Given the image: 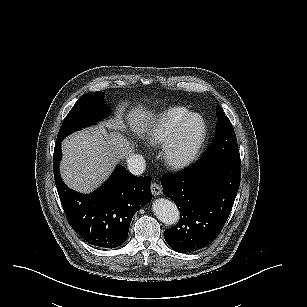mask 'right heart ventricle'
I'll return each instance as SVG.
<instances>
[{"label":"right heart ventricle","mask_w":307,"mask_h":307,"mask_svg":"<svg viewBox=\"0 0 307 307\" xmlns=\"http://www.w3.org/2000/svg\"><path fill=\"white\" fill-rule=\"evenodd\" d=\"M183 117V109L178 104H167L151 123V136L159 142L167 141L172 136L173 129L183 120Z\"/></svg>","instance_id":"e07e8e85"}]
</instances>
